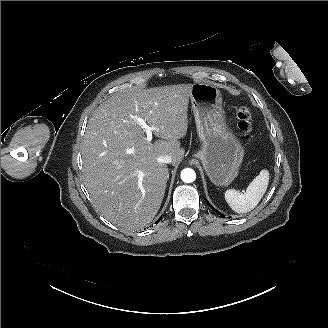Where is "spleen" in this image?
I'll return each instance as SVG.
<instances>
[{
    "label": "spleen",
    "instance_id": "3e777b00",
    "mask_svg": "<svg viewBox=\"0 0 328 328\" xmlns=\"http://www.w3.org/2000/svg\"><path fill=\"white\" fill-rule=\"evenodd\" d=\"M269 184V171L263 169L248 185L245 193L235 189L225 192V200L236 213H247L253 210L264 196Z\"/></svg>",
    "mask_w": 328,
    "mask_h": 328
}]
</instances>
